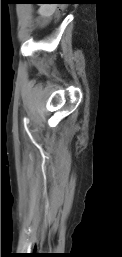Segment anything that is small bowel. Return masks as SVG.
Wrapping results in <instances>:
<instances>
[{
    "label": "small bowel",
    "mask_w": 122,
    "mask_h": 257,
    "mask_svg": "<svg viewBox=\"0 0 122 257\" xmlns=\"http://www.w3.org/2000/svg\"><path fill=\"white\" fill-rule=\"evenodd\" d=\"M55 8L52 5H42L38 9L37 25L44 26L54 13Z\"/></svg>",
    "instance_id": "c3829d8e"
}]
</instances>
